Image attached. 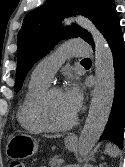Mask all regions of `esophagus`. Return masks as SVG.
I'll use <instances>...</instances> for the list:
<instances>
[{
	"mask_svg": "<svg viewBox=\"0 0 125 167\" xmlns=\"http://www.w3.org/2000/svg\"><path fill=\"white\" fill-rule=\"evenodd\" d=\"M75 137L73 135H69L68 139H74Z\"/></svg>",
	"mask_w": 125,
	"mask_h": 167,
	"instance_id": "34e87169",
	"label": "esophagus"
}]
</instances>
